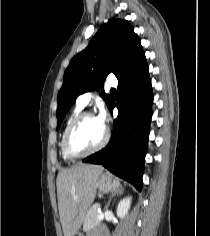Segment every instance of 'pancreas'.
<instances>
[{"label": "pancreas", "instance_id": "obj_1", "mask_svg": "<svg viewBox=\"0 0 210 236\" xmlns=\"http://www.w3.org/2000/svg\"><path fill=\"white\" fill-rule=\"evenodd\" d=\"M100 207L101 206L99 203H95L90 207L84 218V224H83L84 231H88L100 224L101 220L97 218V215L99 214L97 209Z\"/></svg>", "mask_w": 210, "mask_h": 236}]
</instances>
